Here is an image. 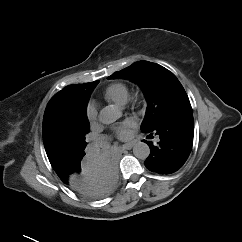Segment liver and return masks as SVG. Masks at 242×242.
I'll use <instances>...</instances> for the list:
<instances>
[{"mask_svg":"<svg viewBox=\"0 0 242 242\" xmlns=\"http://www.w3.org/2000/svg\"><path fill=\"white\" fill-rule=\"evenodd\" d=\"M97 187H99V185L96 184V182L94 181V182L92 183V188H97Z\"/></svg>","mask_w":242,"mask_h":242,"instance_id":"liver-1","label":"liver"}]
</instances>
